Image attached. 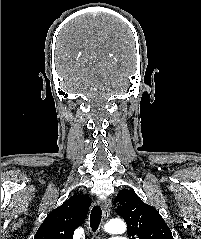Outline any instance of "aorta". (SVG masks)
Instances as JSON below:
<instances>
[{
    "mask_svg": "<svg viewBox=\"0 0 201 239\" xmlns=\"http://www.w3.org/2000/svg\"><path fill=\"white\" fill-rule=\"evenodd\" d=\"M104 230L108 234H122L126 230V224L121 219H112L105 224Z\"/></svg>",
    "mask_w": 201,
    "mask_h": 239,
    "instance_id": "aorta-1",
    "label": "aorta"
}]
</instances>
